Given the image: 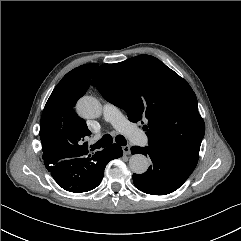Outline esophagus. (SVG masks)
<instances>
[{
  "mask_svg": "<svg viewBox=\"0 0 241 241\" xmlns=\"http://www.w3.org/2000/svg\"><path fill=\"white\" fill-rule=\"evenodd\" d=\"M122 150H123V153H124L125 155H129V154L131 153V151H130V146H129V145L123 146V147H122Z\"/></svg>",
  "mask_w": 241,
  "mask_h": 241,
  "instance_id": "obj_1",
  "label": "esophagus"
}]
</instances>
